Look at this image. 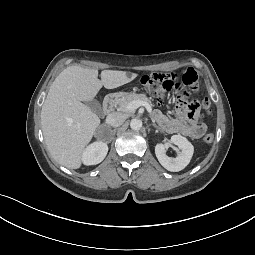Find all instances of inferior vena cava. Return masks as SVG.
I'll use <instances>...</instances> for the list:
<instances>
[{"label": "inferior vena cava", "mask_w": 255, "mask_h": 255, "mask_svg": "<svg viewBox=\"0 0 255 255\" xmlns=\"http://www.w3.org/2000/svg\"><path fill=\"white\" fill-rule=\"evenodd\" d=\"M125 119L123 114L114 112L106 117V123L112 127H118L124 123Z\"/></svg>", "instance_id": "inferior-vena-cava-1"}]
</instances>
